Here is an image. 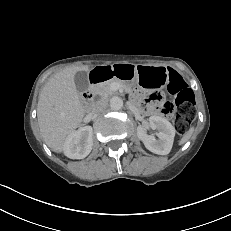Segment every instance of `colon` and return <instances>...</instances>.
<instances>
[{"mask_svg":"<svg viewBox=\"0 0 231 231\" xmlns=\"http://www.w3.org/2000/svg\"><path fill=\"white\" fill-rule=\"evenodd\" d=\"M168 90L174 96V102L159 100L154 103V108L163 114L174 113V126L178 134L184 135L189 130L194 120L195 94L185 80L177 73L170 75Z\"/></svg>","mask_w":231,"mask_h":231,"instance_id":"obj_1","label":"colon"}]
</instances>
